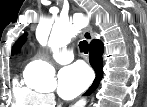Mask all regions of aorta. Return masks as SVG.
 I'll list each match as a JSON object with an SVG mask.
<instances>
[{
    "label": "aorta",
    "mask_w": 147,
    "mask_h": 107,
    "mask_svg": "<svg viewBox=\"0 0 147 107\" xmlns=\"http://www.w3.org/2000/svg\"><path fill=\"white\" fill-rule=\"evenodd\" d=\"M80 31L79 22L57 21L53 25L48 45L53 48L66 46L73 37ZM41 37V35H39ZM29 73V84L43 89H53L56 87L55 69L48 63L37 60L27 66Z\"/></svg>",
    "instance_id": "aorta-1"
}]
</instances>
